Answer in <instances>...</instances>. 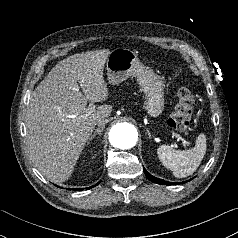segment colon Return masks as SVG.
<instances>
[{
  "label": "colon",
  "mask_w": 238,
  "mask_h": 238,
  "mask_svg": "<svg viewBox=\"0 0 238 238\" xmlns=\"http://www.w3.org/2000/svg\"><path fill=\"white\" fill-rule=\"evenodd\" d=\"M195 103V96L189 89H179L173 111L168 118V125L183 134H188L191 130V114Z\"/></svg>",
  "instance_id": "colon-1"
}]
</instances>
